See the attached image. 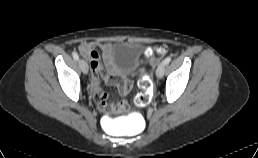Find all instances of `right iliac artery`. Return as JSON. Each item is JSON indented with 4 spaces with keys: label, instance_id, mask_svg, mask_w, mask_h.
Listing matches in <instances>:
<instances>
[{
    "label": "right iliac artery",
    "instance_id": "right-iliac-artery-1",
    "mask_svg": "<svg viewBox=\"0 0 258 158\" xmlns=\"http://www.w3.org/2000/svg\"><path fill=\"white\" fill-rule=\"evenodd\" d=\"M73 58L75 59V60H79V56H78V53L77 52H73Z\"/></svg>",
    "mask_w": 258,
    "mask_h": 158
}]
</instances>
